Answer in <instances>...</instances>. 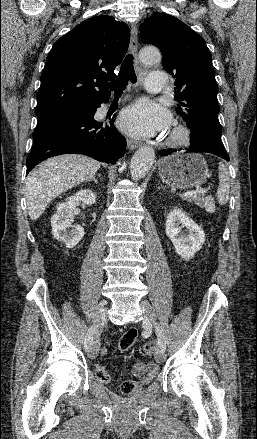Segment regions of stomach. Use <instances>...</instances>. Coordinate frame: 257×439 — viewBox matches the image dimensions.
Listing matches in <instances>:
<instances>
[{"instance_id":"stomach-1","label":"stomach","mask_w":257,"mask_h":439,"mask_svg":"<svg viewBox=\"0 0 257 439\" xmlns=\"http://www.w3.org/2000/svg\"><path fill=\"white\" fill-rule=\"evenodd\" d=\"M160 178L171 187L200 186L210 176L208 165L198 153H176L163 158L158 166Z\"/></svg>"}]
</instances>
